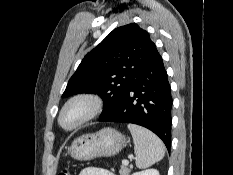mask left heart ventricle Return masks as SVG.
I'll return each mask as SVG.
<instances>
[{"mask_svg":"<svg viewBox=\"0 0 233 175\" xmlns=\"http://www.w3.org/2000/svg\"><path fill=\"white\" fill-rule=\"evenodd\" d=\"M85 110H86L85 105L81 104L74 106L66 113L64 117V123L67 125L74 123L84 114Z\"/></svg>","mask_w":233,"mask_h":175,"instance_id":"left-heart-ventricle-1","label":"left heart ventricle"}]
</instances>
